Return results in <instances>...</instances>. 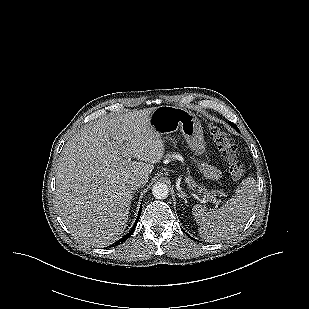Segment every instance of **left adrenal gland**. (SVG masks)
I'll return each instance as SVG.
<instances>
[{
	"label": "left adrenal gland",
	"mask_w": 309,
	"mask_h": 309,
	"mask_svg": "<svg viewBox=\"0 0 309 309\" xmlns=\"http://www.w3.org/2000/svg\"><path fill=\"white\" fill-rule=\"evenodd\" d=\"M180 197H182L185 200V202H187L184 194Z\"/></svg>",
	"instance_id": "a2214340"
}]
</instances>
